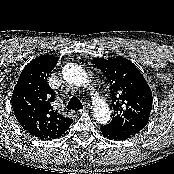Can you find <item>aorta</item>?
Returning a JSON list of instances; mask_svg holds the SVG:
<instances>
[{"label":"aorta","instance_id":"obj_1","mask_svg":"<svg viewBox=\"0 0 174 174\" xmlns=\"http://www.w3.org/2000/svg\"><path fill=\"white\" fill-rule=\"evenodd\" d=\"M64 79L76 86L85 85L88 82V75L85 70L76 63H68L62 71ZM93 116L97 122L106 124L110 120V109L102 100L95 98L93 101Z\"/></svg>","mask_w":174,"mask_h":174}]
</instances>
